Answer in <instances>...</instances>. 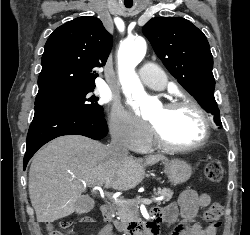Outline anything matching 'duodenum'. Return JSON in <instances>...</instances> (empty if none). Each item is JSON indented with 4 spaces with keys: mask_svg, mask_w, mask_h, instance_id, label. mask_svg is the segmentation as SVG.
Segmentation results:
<instances>
[{
    "mask_svg": "<svg viewBox=\"0 0 250 235\" xmlns=\"http://www.w3.org/2000/svg\"><path fill=\"white\" fill-rule=\"evenodd\" d=\"M101 210L104 216L105 226L101 229L99 235H111L115 225L114 212L112 208L107 205H102ZM159 223V215L153 211L151 218L144 226H130L124 232V235H158Z\"/></svg>",
    "mask_w": 250,
    "mask_h": 235,
    "instance_id": "obj_1",
    "label": "duodenum"
}]
</instances>
